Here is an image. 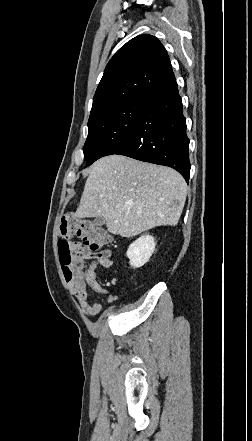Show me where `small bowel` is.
<instances>
[{"label":"small bowel","instance_id":"c3829d8e","mask_svg":"<svg viewBox=\"0 0 252 441\" xmlns=\"http://www.w3.org/2000/svg\"><path fill=\"white\" fill-rule=\"evenodd\" d=\"M81 260L92 259V261L83 267L84 275L82 281L71 282L73 293L80 303L84 313L87 316L99 315L103 307L99 302H92L89 298V290L97 294L104 295L108 303H114L117 297L104 289L97 281L96 269L99 267H109L112 264L110 254L107 251L92 253L88 251L81 252Z\"/></svg>","mask_w":252,"mask_h":441}]
</instances>
